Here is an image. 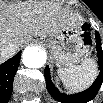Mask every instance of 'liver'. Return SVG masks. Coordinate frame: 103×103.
Returning <instances> with one entry per match:
<instances>
[{"mask_svg":"<svg viewBox=\"0 0 103 103\" xmlns=\"http://www.w3.org/2000/svg\"><path fill=\"white\" fill-rule=\"evenodd\" d=\"M82 18L47 0H27L1 13V46L13 43L9 50H2L1 57L12 56L18 47L32 36L53 35L64 26H74Z\"/></svg>","mask_w":103,"mask_h":103,"instance_id":"liver-1","label":"liver"}]
</instances>
